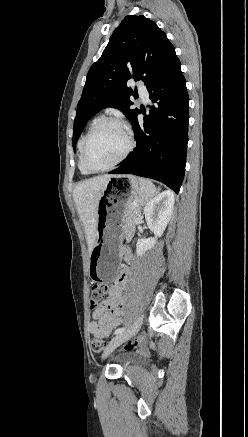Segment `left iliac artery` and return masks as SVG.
<instances>
[{"label":"left iliac artery","mask_w":248,"mask_h":437,"mask_svg":"<svg viewBox=\"0 0 248 437\" xmlns=\"http://www.w3.org/2000/svg\"><path fill=\"white\" fill-rule=\"evenodd\" d=\"M125 330H126V329H125L124 327L118 328V329L115 330L114 334H115V335H118V334L124 332Z\"/></svg>","instance_id":"left-iliac-artery-1"}]
</instances>
